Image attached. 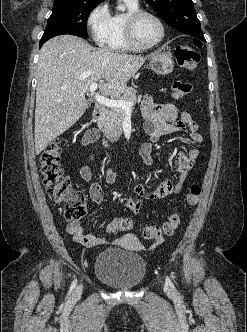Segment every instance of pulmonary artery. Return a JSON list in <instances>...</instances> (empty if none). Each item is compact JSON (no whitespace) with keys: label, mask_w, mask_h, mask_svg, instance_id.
Segmentation results:
<instances>
[{"label":"pulmonary artery","mask_w":247,"mask_h":332,"mask_svg":"<svg viewBox=\"0 0 247 332\" xmlns=\"http://www.w3.org/2000/svg\"><path fill=\"white\" fill-rule=\"evenodd\" d=\"M129 1H131L133 3H138V0H129Z\"/></svg>","instance_id":"pulmonary-artery-1"}]
</instances>
